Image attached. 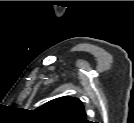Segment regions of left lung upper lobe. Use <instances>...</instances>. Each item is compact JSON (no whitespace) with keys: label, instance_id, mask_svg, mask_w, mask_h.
<instances>
[{"label":"left lung upper lobe","instance_id":"5c2ea615","mask_svg":"<svg viewBox=\"0 0 134 123\" xmlns=\"http://www.w3.org/2000/svg\"><path fill=\"white\" fill-rule=\"evenodd\" d=\"M37 110L49 120L62 123H87L83 104L75 97L65 96L53 99Z\"/></svg>","mask_w":134,"mask_h":123}]
</instances>
